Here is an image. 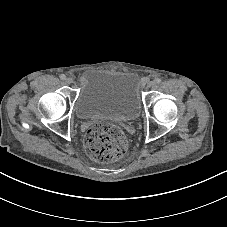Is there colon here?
I'll return each instance as SVG.
<instances>
[{"instance_id": "5ec220e1", "label": "colon", "mask_w": 227, "mask_h": 227, "mask_svg": "<svg viewBox=\"0 0 227 227\" xmlns=\"http://www.w3.org/2000/svg\"><path fill=\"white\" fill-rule=\"evenodd\" d=\"M87 153L98 162L119 160L126 152L128 141L123 131L110 123L95 124L85 136Z\"/></svg>"}]
</instances>
